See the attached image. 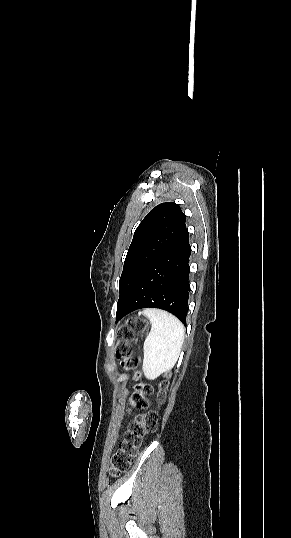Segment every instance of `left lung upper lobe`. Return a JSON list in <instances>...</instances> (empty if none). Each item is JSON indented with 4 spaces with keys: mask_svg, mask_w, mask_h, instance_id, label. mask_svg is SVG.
I'll use <instances>...</instances> for the list:
<instances>
[{
    "mask_svg": "<svg viewBox=\"0 0 291 538\" xmlns=\"http://www.w3.org/2000/svg\"><path fill=\"white\" fill-rule=\"evenodd\" d=\"M179 205L169 202L154 207L134 232L119 281L117 307L123 306L157 257L186 230Z\"/></svg>",
    "mask_w": 291,
    "mask_h": 538,
    "instance_id": "left-lung-upper-lobe-1",
    "label": "left lung upper lobe"
}]
</instances>
